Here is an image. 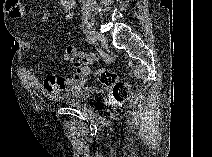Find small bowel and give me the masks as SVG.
I'll return each mask as SVG.
<instances>
[{"label": "small bowel", "instance_id": "1", "mask_svg": "<svg viewBox=\"0 0 212 157\" xmlns=\"http://www.w3.org/2000/svg\"><path fill=\"white\" fill-rule=\"evenodd\" d=\"M60 5L64 13L69 17L74 9L75 0H61ZM5 8L12 19L20 18L25 12V6L20 0H7ZM30 49L31 43L28 41L24 42L23 50L29 51ZM21 74L29 87L42 89L46 95L52 98L58 97L64 92L77 90L84 84L76 81L73 77L56 75H50L41 81L33 66L23 68Z\"/></svg>", "mask_w": 212, "mask_h": 157}]
</instances>
